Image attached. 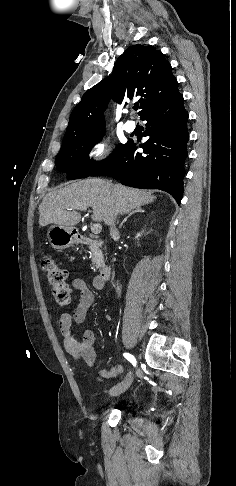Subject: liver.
I'll use <instances>...</instances> for the list:
<instances>
[{
	"instance_id": "liver-1",
	"label": "liver",
	"mask_w": 236,
	"mask_h": 486,
	"mask_svg": "<svg viewBox=\"0 0 236 486\" xmlns=\"http://www.w3.org/2000/svg\"><path fill=\"white\" fill-rule=\"evenodd\" d=\"M156 197L150 191L113 184L100 178L76 181L45 195L39 205V224L74 226L81 220L75 210L92 207V220L110 225L114 213L126 214L152 203Z\"/></svg>"
}]
</instances>
